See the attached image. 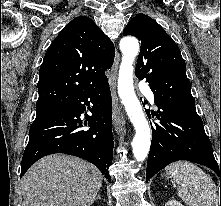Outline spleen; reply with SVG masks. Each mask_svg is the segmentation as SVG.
Segmentation results:
<instances>
[{"mask_svg": "<svg viewBox=\"0 0 221 206\" xmlns=\"http://www.w3.org/2000/svg\"><path fill=\"white\" fill-rule=\"evenodd\" d=\"M178 195L188 206H219L218 190L210 175L195 164L178 161L167 167Z\"/></svg>", "mask_w": 221, "mask_h": 206, "instance_id": "spleen-1", "label": "spleen"}]
</instances>
